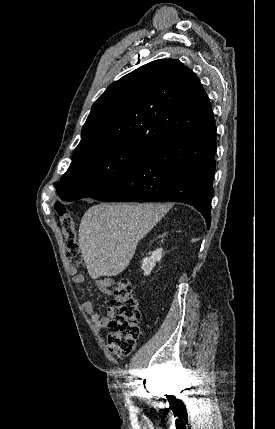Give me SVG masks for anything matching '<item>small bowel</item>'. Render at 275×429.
<instances>
[{"instance_id": "c3829d8e", "label": "small bowel", "mask_w": 275, "mask_h": 429, "mask_svg": "<svg viewBox=\"0 0 275 429\" xmlns=\"http://www.w3.org/2000/svg\"><path fill=\"white\" fill-rule=\"evenodd\" d=\"M72 272L74 284H82L84 282V276L82 274L76 273L75 270H72ZM95 283L100 288V290L107 294H111L109 282L104 279L98 278L95 279ZM82 309L86 314L90 315L92 323L99 328L107 327L115 315V309L112 306L108 308L107 314L105 316L100 315L95 311L94 304L88 300L83 302Z\"/></svg>"}]
</instances>
